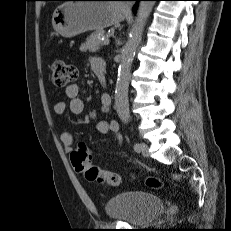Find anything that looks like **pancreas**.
I'll return each mask as SVG.
<instances>
[{
    "label": "pancreas",
    "mask_w": 231,
    "mask_h": 231,
    "mask_svg": "<svg viewBox=\"0 0 231 231\" xmlns=\"http://www.w3.org/2000/svg\"><path fill=\"white\" fill-rule=\"evenodd\" d=\"M104 35V32L99 31L91 34L87 39L86 42L81 44L80 50L82 52L89 51V52H97L100 47L103 45L100 39V36Z\"/></svg>",
    "instance_id": "pancreas-1"
}]
</instances>
